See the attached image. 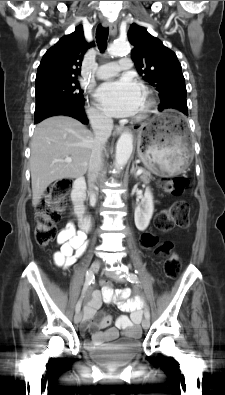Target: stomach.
Wrapping results in <instances>:
<instances>
[{"label": "stomach", "mask_w": 225, "mask_h": 395, "mask_svg": "<svg viewBox=\"0 0 225 395\" xmlns=\"http://www.w3.org/2000/svg\"><path fill=\"white\" fill-rule=\"evenodd\" d=\"M183 117L166 110L139 130L137 152L151 172L176 175L183 172L193 156Z\"/></svg>", "instance_id": "obj_1"}]
</instances>
